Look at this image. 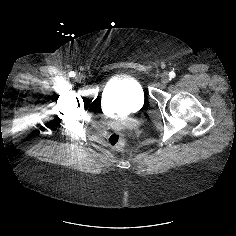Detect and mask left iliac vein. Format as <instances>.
Masks as SVG:
<instances>
[{
  "label": "left iliac vein",
  "mask_w": 236,
  "mask_h": 236,
  "mask_svg": "<svg viewBox=\"0 0 236 236\" xmlns=\"http://www.w3.org/2000/svg\"><path fill=\"white\" fill-rule=\"evenodd\" d=\"M169 80H170V79H169L168 74H167V73H163L162 76H161V82L164 83V84H166V83L169 82Z\"/></svg>",
  "instance_id": "obj_1"
}]
</instances>
